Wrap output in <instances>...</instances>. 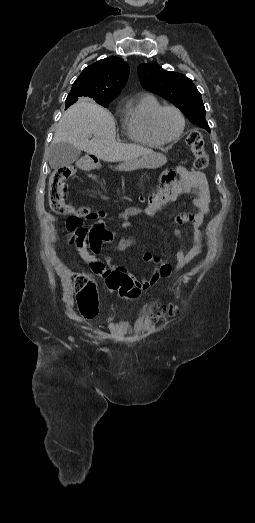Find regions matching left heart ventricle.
Listing matches in <instances>:
<instances>
[{"label": "left heart ventricle", "mask_w": 255, "mask_h": 523, "mask_svg": "<svg viewBox=\"0 0 255 523\" xmlns=\"http://www.w3.org/2000/svg\"><path fill=\"white\" fill-rule=\"evenodd\" d=\"M156 125L159 134L163 138L170 139L179 133L181 122L175 111L166 109L159 115Z\"/></svg>", "instance_id": "b2bd125f"}]
</instances>
